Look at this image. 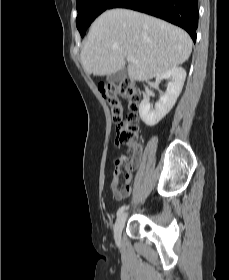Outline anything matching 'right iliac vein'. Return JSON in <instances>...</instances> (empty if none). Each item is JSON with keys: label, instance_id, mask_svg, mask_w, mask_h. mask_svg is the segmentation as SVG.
<instances>
[{"label": "right iliac vein", "instance_id": "obj_1", "mask_svg": "<svg viewBox=\"0 0 229 280\" xmlns=\"http://www.w3.org/2000/svg\"><path fill=\"white\" fill-rule=\"evenodd\" d=\"M126 218H127V214L123 213L118 217V219L115 223L114 238H115L116 243H120L121 233H122L123 227L125 225Z\"/></svg>", "mask_w": 229, "mask_h": 280}]
</instances>
